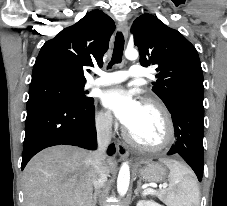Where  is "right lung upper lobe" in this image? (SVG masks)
I'll return each mask as SVG.
<instances>
[{"label":"right lung upper lobe","mask_w":227,"mask_h":206,"mask_svg":"<svg viewBox=\"0 0 227 206\" xmlns=\"http://www.w3.org/2000/svg\"><path fill=\"white\" fill-rule=\"evenodd\" d=\"M115 30L113 20L99 10L87 13L76 24L63 29L42 46L32 72L31 83L58 79L85 84L87 67L102 66Z\"/></svg>","instance_id":"right-lung-upper-lobe-1"}]
</instances>
